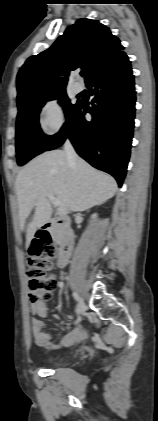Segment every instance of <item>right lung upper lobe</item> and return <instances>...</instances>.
<instances>
[{"instance_id":"obj_1","label":"right lung upper lobe","mask_w":158,"mask_h":421,"mask_svg":"<svg viewBox=\"0 0 158 421\" xmlns=\"http://www.w3.org/2000/svg\"><path fill=\"white\" fill-rule=\"evenodd\" d=\"M120 40L97 20L78 19L46 51L31 56L17 75V104L65 90L71 71L82 69L87 82L105 64L122 54Z\"/></svg>"}]
</instances>
